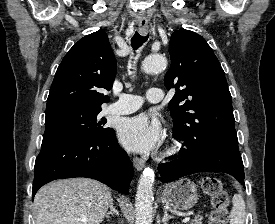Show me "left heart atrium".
I'll list each match as a JSON object with an SVG mask.
<instances>
[{"label": "left heart atrium", "instance_id": "obj_1", "mask_svg": "<svg viewBox=\"0 0 275 224\" xmlns=\"http://www.w3.org/2000/svg\"><path fill=\"white\" fill-rule=\"evenodd\" d=\"M118 137L127 149L146 152L156 147L160 133L156 122H149L144 115H138L121 121Z\"/></svg>", "mask_w": 275, "mask_h": 224}]
</instances>
